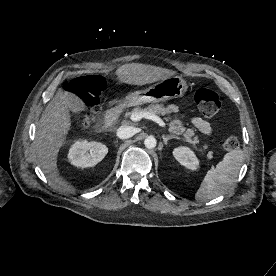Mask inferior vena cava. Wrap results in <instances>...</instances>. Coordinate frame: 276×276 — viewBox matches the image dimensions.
<instances>
[{"instance_id":"inferior-vena-cava-1","label":"inferior vena cava","mask_w":276,"mask_h":276,"mask_svg":"<svg viewBox=\"0 0 276 276\" xmlns=\"http://www.w3.org/2000/svg\"><path fill=\"white\" fill-rule=\"evenodd\" d=\"M136 133V130L132 126H121L117 129V136L120 139H128Z\"/></svg>"}]
</instances>
